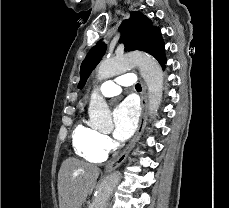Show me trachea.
<instances>
[{
    "mask_svg": "<svg viewBox=\"0 0 229 208\" xmlns=\"http://www.w3.org/2000/svg\"><path fill=\"white\" fill-rule=\"evenodd\" d=\"M135 88H141L140 84L137 83V84L135 85Z\"/></svg>",
    "mask_w": 229,
    "mask_h": 208,
    "instance_id": "trachea-1",
    "label": "trachea"
}]
</instances>
